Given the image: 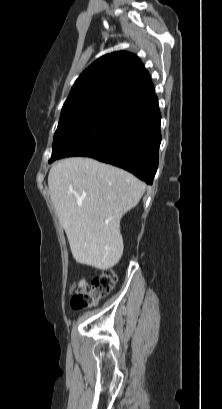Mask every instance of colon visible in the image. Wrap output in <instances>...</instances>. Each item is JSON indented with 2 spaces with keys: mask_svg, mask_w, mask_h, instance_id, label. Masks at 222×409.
Returning <instances> with one entry per match:
<instances>
[{
  "mask_svg": "<svg viewBox=\"0 0 222 409\" xmlns=\"http://www.w3.org/2000/svg\"><path fill=\"white\" fill-rule=\"evenodd\" d=\"M117 282L113 269L105 268L91 280L90 289L77 292L71 299V308L75 311L94 306L101 298L107 296Z\"/></svg>",
  "mask_w": 222,
  "mask_h": 409,
  "instance_id": "colon-1",
  "label": "colon"
}]
</instances>
